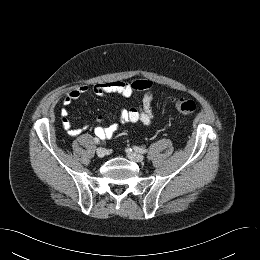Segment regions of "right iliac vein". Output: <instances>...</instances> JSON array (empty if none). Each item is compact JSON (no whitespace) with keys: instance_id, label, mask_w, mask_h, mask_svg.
I'll use <instances>...</instances> for the list:
<instances>
[{"instance_id":"1","label":"right iliac vein","mask_w":260,"mask_h":260,"mask_svg":"<svg viewBox=\"0 0 260 260\" xmlns=\"http://www.w3.org/2000/svg\"><path fill=\"white\" fill-rule=\"evenodd\" d=\"M96 153H97V156L100 157V158H103L107 154L106 149L103 148V147L97 148Z\"/></svg>"}]
</instances>
